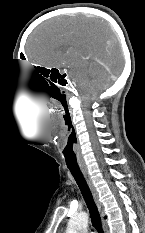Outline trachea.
Masks as SVG:
<instances>
[{"instance_id":"1","label":"trachea","mask_w":145,"mask_h":233,"mask_svg":"<svg viewBox=\"0 0 145 233\" xmlns=\"http://www.w3.org/2000/svg\"><path fill=\"white\" fill-rule=\"evenodd\" d=\"M71 174L73 175L82 195L83 198L87 204V207L89 209L90 212V217H91V222L93 224V226L96 228V230L99 233H104L103 228H102V224H101V219H100V215L97 209V206L94 202L92 193L88 187V184L82 174V172L80 171V168H71L68 167Z\"/></svg>"}]
</instances>
